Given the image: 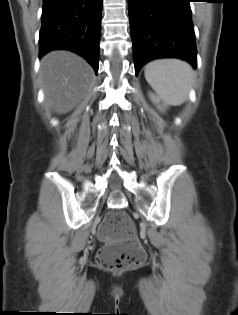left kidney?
<instances>
[{
  "instance_id": "obj_1",
  "label": "left kidney",
  "mask_w": 238,
  "mask_h": 315,
  "mask_svg": "<svg viewBox=\"0 0 238 315\" xmlns=\"http://www.w3.org/2000/svg\"><path fill=\"white\" fill-rule=\"evenodd\" d=\"M150 98L152 99V101H153L155 104H158V106H159V103H160L159 97H156L154 94H150ZM163 105L166 106V104H163ZM159 108L161 109L160 106H159Z\"/></svg>"
}]
</instances>
